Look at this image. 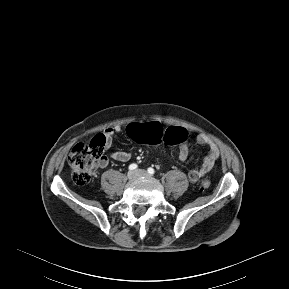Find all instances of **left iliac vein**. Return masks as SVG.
Returning <instances> with one entry per match:
<instances>
[{
    "label": "left iliac vein",
    "instance_id": "1",
    "mask_svg": "<svg viewBox=\"0 0 289 289\" xmlns=\"http://www.w3.org/2000/svg\"><path fill=\"white\" fill-rule=\"evenodd\" d=\"M136 173H137V176H144V177H148L149 176L148 172L145 171V170H142V169L137 170Z\"/></svg>",
    "mask_w": 289,
    "mask_h": 289
}]
</instances>
